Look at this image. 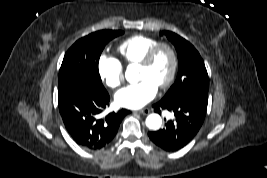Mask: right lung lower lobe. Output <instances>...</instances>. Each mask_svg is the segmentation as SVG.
<instances>
[{"label":"right lung lower lobe","instance_id":"right-lung-lower-lobe-1","mask_svg":"<svg viewBox=\"0 0 267 178\" xmlns=\"http://www.w3.org/2000/svg\"><path fill=\"white\" fill-rule=\"evenodd\" d=\"M107 91L88 85H73L59 89V111L72 139L87 150H100L115 137L122 119L129 113L126 109L102 117L109 105Z\"/></svg>","mask_w":267,"mask_h":178}]
</instances>
